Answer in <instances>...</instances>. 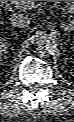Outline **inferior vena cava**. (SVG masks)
<instances>
[{
    "label": "inferior vena cava",
    "instance_id": "602c4592",
    "mask_svg": "<svg viewBox=\"0 0 74 122\" xmlns=\"http://www.w3.org/2000/svg\"><path fill=\"white\" fill-rule=\"evenodd\" d=\"M11 24L15 27L24 28L30 24V18L20 13H14L10 16Z\"/></svg>",
    "mask_w": 74,
    "mask_h": 122
}]
</instances>
